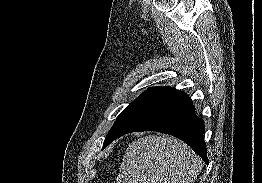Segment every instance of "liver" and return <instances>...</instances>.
Returning a JSON list of instances; mask_svg holds the SVG:
<instances>
[{
    "mask_svg": "<svg viewBox=\"0 0 262 183\" xmlns=\"http://www.w3.org/2000/svg\"><path fill=\"white\" fill-rule=\"evenodd\" d=\"M203 162L187 144L149 135L126 149L117 183H193Z\"/></svg>",
    "mask_w": 262,
    "mask_h": 183,
    "instance_id": "6515ba94",
    "label": "liver"
}]
</instances>
